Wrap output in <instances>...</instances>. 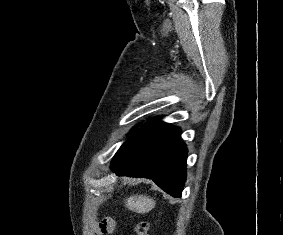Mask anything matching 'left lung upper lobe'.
<instances>
[{
	"instance_id": "5c2ea615",
	"label": "left lung upper lobe",
	"mask_w": 283,
	"mask_h": 235,
	"mask_svg": "<svg viewBox=\"0 0 283 235\" xmlns=\"http://www.w3.org/2000/svg\"><path fill=\"white\" fill-rule=\"evenodd\" d=\"M136 128H137V126H135V127L131 130V132L134 131Z\"/></svg>"
}]
</instances>
